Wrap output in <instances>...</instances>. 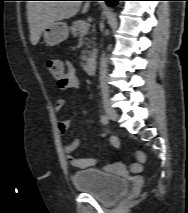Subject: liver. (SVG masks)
I'll list each match as a JSON object with an SVG mask.
<instances>
[{"instance_id": "liver-1", "label": "liver", "mask_w": 188, "mask_h": 213, "mask_svg": "<svg viewBox=\"0 0 188 213\" xmlns=\"http://www.w3.org/2000/svg\"><path fill=\"white\" fill-rule=\"evenodd\" d=\"M81 5L80 1H29L26 8L32 45H37L46 27L76 15ZM89 6L84 4L82 13H86Z\"/></svg>"}]
</instances>
